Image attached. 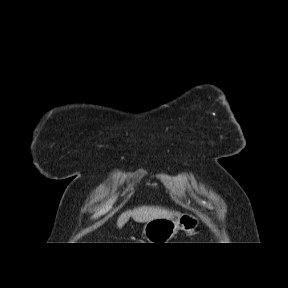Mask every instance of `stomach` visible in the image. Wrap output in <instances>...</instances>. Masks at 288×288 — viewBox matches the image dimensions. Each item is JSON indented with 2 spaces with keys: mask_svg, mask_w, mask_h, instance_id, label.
<instances>
[{
  "mask_svg": "<svg viewBox=\"0 0 288 288\" xmlns=\"http://www.w3.org/2000/svg\"><path fill=\"white\" fill-rule=\"evenodd\" d=\"M199 219L192 214L183 213L178 218H157L145 223L143 234L149 243H168L179 229L192 231Z\"/></svg>",
  "mask_w": 288,
  "mask_h": 288,
  "instance_id": "obj_1",
  "label": "stomach"
}]
</instances>
